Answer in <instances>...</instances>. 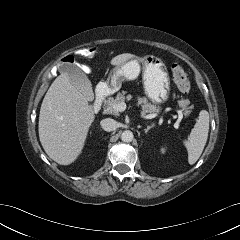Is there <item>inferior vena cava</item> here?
<instances>
[{
	"mask_svg": "<svg viewBox=\"0 0 240 240\" xmlns=\"http://www.w3.org/2000/svg\"><path fill=\"white\" fill-rule=\"evenodd\" d=\"M100 125L107 132L114 131L117 128V122L111 118L101 120Z\"/></svg>",
	"mask_w": 240,
	"mask_h": 240,
	"instance_id": "obj_1",
	"label": "inferior vena cava"
}]
</instances>
